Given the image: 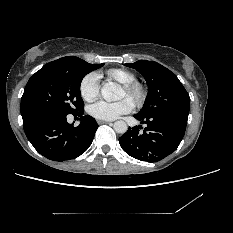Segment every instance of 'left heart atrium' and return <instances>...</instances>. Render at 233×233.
I'll use <instances>...</instances> for the list:
<instances>
[{
  "label": "left heart atrium",
  "mask_w": 233,
  "mask_h": 233,
  "mask_svg": "<svg viewBox=\"0 0 233 233\" xmlns=\"http://www.w3.org/2000/svg\"><path fill=\"white\" fill-rule=\"evenodd\" d=\"M133 108V102L123 98L117 102L98 101L89 107V113L96 119L111 121L131 112Z\"/></svg>",
  "instance_id": "left-heart-atrium-1"
}]
</instances>
